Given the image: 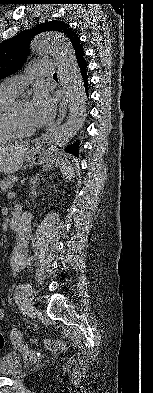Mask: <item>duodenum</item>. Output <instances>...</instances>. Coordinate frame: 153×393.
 <instances>
[{
  "label": "duodenum",
  "mask_w": 153,
  "mask_h": 393,
  "mask_svg": "<svg viewBox=\"0 0 153 393\" xmlns=\"http://www.w3.org/2000/svg\"><path fill=\"white\" fill-rule=\"evenodd\" d=\"M20 215L21 214L18 211L13 212L10 222L8 224L10 229L16 230L19 227Z\"/></svg>",
  "instance_id": "410a0bca"
}]
</instances>
